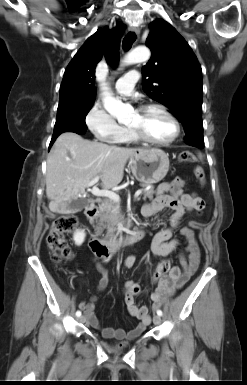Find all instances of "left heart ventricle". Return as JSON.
<instances>
[{
    "label": "left heart ventricle",
    "mask_w": 247,
    "mask_h": 385,
    "mask_svg": "<svg viewBox=\"0 0 247 385\" xmlns=\"http://www.w3.org/2000/svg\"><path fill=\"white\" fill-rule=\"evenodd\" d=\"M129 126L137 128L145 136L156 141L168 140L174 133L172 122L158 110L146 113L135 111Z\"/></svg>",
    "instance_id": "1"
}]
</instances>
